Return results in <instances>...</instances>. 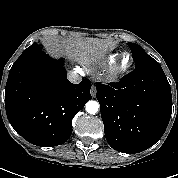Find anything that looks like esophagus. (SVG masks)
Instances as JSON below:
<instances>
[{"mask_svg": "<svg viewBox=\"0 0 178 178\" xmlns=\"http://www.w3.org/2000/svg\"><path fill=\"white\" fill-rule=\"evenodd\" d=\"M90 93H91V96L93 98L96 97L97 90H96V87L94 85L91 87Z\"/></svg>", "mask_w": 178, "mask_h": 178, "instance_id": "obj_1", "label": "esophagus"}]
</instances>
